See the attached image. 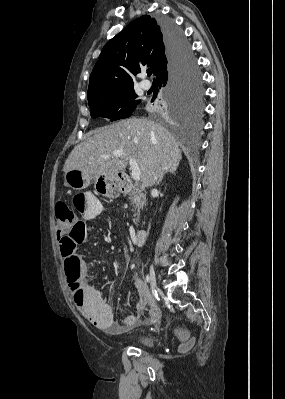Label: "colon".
<instances>
[{
	"label": "colon",
	"instance_id": "1",
	"mask_svg": "<svg viewBox=\"0 0 285 399\" xmlns=\"http://www.w3.org/2000/svg\"><path fill=\"white\" fill-rule=\"evenodd\" d=\"M88 194H76L71 204L61 203L56 209L57 229L60 232V247L62 258L65 265L68 267L71 261L75 258L76 247L79 243L87 238V233L83 229V225L76 221V216L72 210H82L87 203ZM67 282L71 290L77 291L79 289L78 276L75 272L68 269ZM79 301L83 300V293L79 289ZM191 339L187 336H181V350H187L191 346Z\"/></svg>",
	"mask_w": 285,
	"mask_h": 399
}]
</instances>
